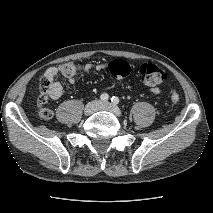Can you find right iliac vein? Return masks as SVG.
<instances>
[{
	"instance_id": "1",
	"label": "right iliac vein",
	"mask_w": 213,
	"mask_h": 213,
	"mask_svg": "<svg viewBox=\"0 0 213 213\" xmlns=\"http://www.w3.org/2000/svg\"><path fill=\"white\" fill-rule=\"evenodd\" d=\"M100 104L101 103L99 101H97V100L89 102L85 106L84 114L88 116V115H91V114L95 113L99 109Z\"/></svg>"
}]
</instances>
